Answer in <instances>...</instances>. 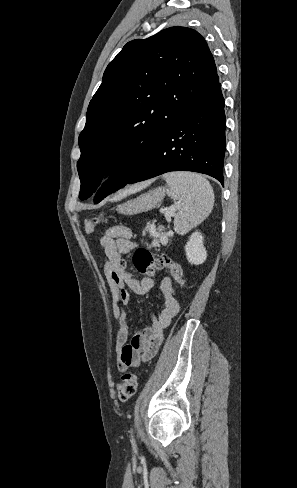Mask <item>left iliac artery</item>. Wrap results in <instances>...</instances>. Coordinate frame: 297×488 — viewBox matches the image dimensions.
Instances as JSON below:
<instances>
[{
  "mask_svg": "<svg viewBox=\"0 0 297 488\" xmlns=\"http://www.w3.org/2000/svg\"><path fill=\"white\" fill-rule=\"evenodd\" d=\"M131 433H132V431H131ZM131 442H132L133 449L136 450V443H135V440L133 437H132Z\"/></svg>",
  "mask_w": 297,
  "mask_h": 488,
  "instance_id": "44dca946",
  "label": "left iliac artery"
}]
</instances>
